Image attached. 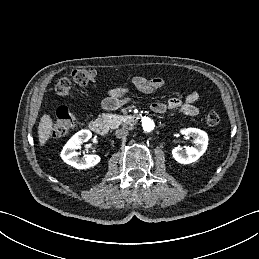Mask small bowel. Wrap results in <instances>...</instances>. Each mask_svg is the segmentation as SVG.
<instances>
[{
  "label": "small bowel",
  "instance_id": "c3829d8e",
  "mask_svg": "<svg viewBox=\"0 0 259 259\" xmlns=\"http://www.w3.org/2000/svg\"><path fill=\"white\" fill-rule=\"evenodd\" d=\"M135 88L145 94H152L159 91L165 85V80L161 77L148 79L142 75H136L132 78ZM128 90L124 87H116L110 90L109 94L102 100L101 106L105 110H114L127 103ZM199 100V94L193 92L187 95L177 94L169 98L166 102L155 101L150 105L153 112L162 114L168 109H177L178 112L186 116H195L198 113L196 105Z\"/></svg>",
  "mask_w": 259,
  "mask_h": 259
}]
</instances>
